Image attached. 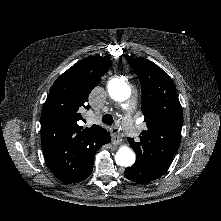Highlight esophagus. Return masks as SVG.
I'll return each instance as SVG.
<instances>
[{"label": "esophagus", "instance_id": "1", "mask_svg": "<svg viewBox=\"0 0 221 221\" xmlns=\"http://www.w3.org/2000/svg\"><path fill=\"white\" fill-rule=\"evenodd\" d=\"M111 133H112V144L113 145L121 144L122 138L118 126H114L111 130Z\"/></svg>", "mask_w": 221, "mask_h": 221}]
</instances>
